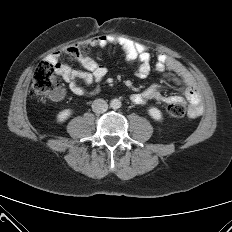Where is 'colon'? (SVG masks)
Wrapping results in <instances>:
<instances>
[{
    "label": "colon",
    "mask_w": 232,
    "mask_h": 232,
    "mask_svg": "<svg viewBox=\"0 0 232 232\" xmlns=\"http://www.w3.org/2000/svg\"><path fill=\"white\" fill-rule=\"evenodd\" d=\"M93 46L92 41H82L68 47L64 53L70 59H79L90 54ZM54 68V62L50 60L42 61L36 66L30 89V94L34 99L53 97L61 92V82L54 74ZM165 110L174 118H181L187 113V108L182 102L168 103Z\"/></svg>",
    "instance_id": "obj_1"
}]
</instances>
